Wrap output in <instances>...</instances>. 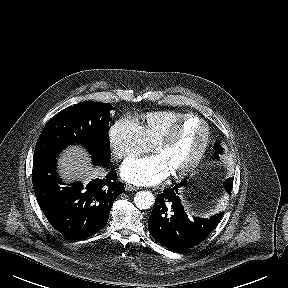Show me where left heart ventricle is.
Masks as SVG:
<instances>
[{
  "instance_id": "left-heart-ventricle-1",
  "label": "left heart ventricle",
  "mask_w": 288,
  "mask_h": 288,
  "mask_svg": "<svg viewBox=\"0 0 288 288\" xmlns=\"http://www.w3.org/2000/svg\"><path fill=\"white\" fill-rule=\"evenodd\" d=\"M204 138L205 126L198 120H191L182 126L170 144L152 151L163 159L170 175L180 173L198 155Z\"/></svg>"
}]
</instances>
